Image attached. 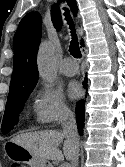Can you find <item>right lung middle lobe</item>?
Listing matches in <instances>:
<instances>
[{
    "label": "right lung middle lobe",
    "mask_w": 125,
    "mask_h": 167,
    "mask_svg": "<svg viewBox=\"0 0 125 167\" xmlns=\"http://www.w3.org/2000/svg\"><path fill=\"white\" fill-rule=\"evenodd\" d=\"M32 90L22 92L20 94L9 96L5 108L1 131L3 134L11 131L18 123L19 113L22 111L24 104Z\"/></svg>",
    "instance_id": "obj_1"
}]
</instances>
